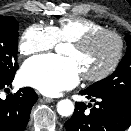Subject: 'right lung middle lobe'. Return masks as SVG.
Here are the masks:
<instances>
[{
  "label": "right lung middle lobe",
  "mask_w": 131,
  "mask_h": 131,
  "mask_svg": "<svg viewBox=\"0 0 131 131\" xmlns=\"http://www.w3.org/2000/svg\"><path fill=\"white\" fill-rule=\"evenodd\" d=\"M18 22L10 16H0V82L10 80L18 69Z\"/></svg>",
  "instance_id": "obj_1"
}]
</instances>
